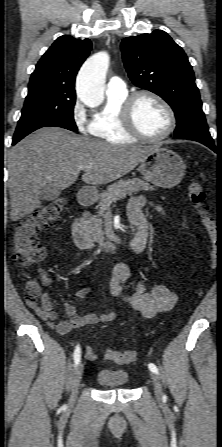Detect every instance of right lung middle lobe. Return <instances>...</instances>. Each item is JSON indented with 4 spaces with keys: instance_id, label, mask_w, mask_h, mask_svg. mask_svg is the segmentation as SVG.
Masks as SVG:
<instances>
[{
    "instance_id": "obj_1",
    "label": "right lung middle lobe",
    "mask_w": 222,
    "mask_h": 447,
    "mask_svg": "<svg viewBox=\"0 0 222 447\" xmlns=\"http://www.w3.org/2000/svg\"><path fill=\"white\" fill-rule=\"evenodd\" d=\"M75 100V95L55 92L47 85L30 87L13 140L19 141L47 126L77 131L73 117Z\"/></svg>"
}]
</instances>
